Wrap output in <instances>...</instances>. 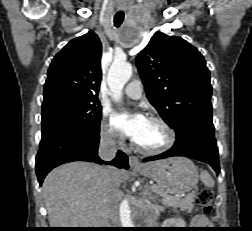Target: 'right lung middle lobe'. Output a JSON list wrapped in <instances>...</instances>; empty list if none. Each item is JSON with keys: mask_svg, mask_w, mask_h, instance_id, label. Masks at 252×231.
<instances>
[{"mask_svg": "<svg viewBox=\"0 0 252 231\" xmlns=\"http://www.w3.org/2000/svg\"><path fill=\"white\" fill-rule=\"evenodd\" d=\"M102 108L98 99L60 94L44 99L42 137L61 129L100 132Z\"/></svg>", "mask_w": 252, "mask_h": 231, "instance_id": "right-lung-middle-lobe-1", "label": "right lung middle lobe"}]
</instances>
